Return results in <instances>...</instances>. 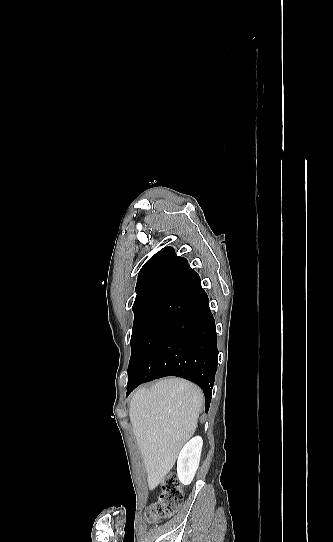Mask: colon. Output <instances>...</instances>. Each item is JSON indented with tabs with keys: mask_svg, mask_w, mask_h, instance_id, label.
Segmentation results:
<instances>
[{
	"mask_svg": "<svg viewBox=\"0 0 333 542\" xmlns=\"http://www.w3.org/2000/svg\"><path fill=\"white\" fill-rule=\"evenodd\" d=\"M182 501L183 493L179 481L173 474L166 475L157 501L149 504L147 508V519L154 521L170 516L180 508Z\"/></svg>",
	"mask_w": 333,
	"mask_h": 542,
	"instance_id": "obj_1",
	"label": "colon"
}]
</instances>
